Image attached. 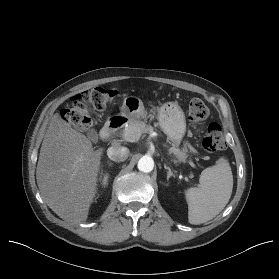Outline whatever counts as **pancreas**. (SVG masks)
I'll return each instance as SVG.
<instances>
[{"instance_id": "obj_1", "label": "pancreas", "mask_w": 279, "mask_h": 279, "mask_svg": "<svg viewBox=\"0 0 279 279\" xmlns=\"http://www.w3.org/2000/svg\"><path fill=\"white\" fill-rule=\"evenodd\" d=\"M153 128L146 125L145 122L140 121V120H136L133 121L131 123H129V125H127L121 132L120 135H124L127 132L130 133V138L133 139L134 141L138 140L139 137L141 136V134L146 133V132H150L152 131ZM174 148H171L170 151L174 152Z\"/></svg>"}]
</instances>
